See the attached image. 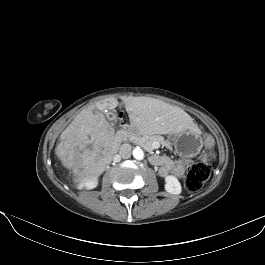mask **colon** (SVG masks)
<instances>
[{
    "label": "colon",
    "instance_id": "colon-1",
    "mask_svg": "<svg viewBox=\"0 0 265 265\" xmlns=\"http://www.w3.org/2000/svg\"><path fill=\"white\" fill-rule=\"evenodd\" d=\"M120 118L122 115L120 114ZM205 145L211 148L213 140L211 137H206ZM211 174L210 160L194 163L188 170L185 178V185L188 191L198 192L202 189L204 183L209 179Z\"/></svg>",
    "mask_w": 265,
    "mask_h": 265
}]
</instances>
